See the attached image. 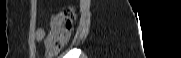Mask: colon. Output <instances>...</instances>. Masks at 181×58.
Segmentation results:
<instances>
[{
	"instance_id": "colon-1",
	"label": "colon",
	"mask_w": 181,
	"mask_h": 58,
	"mask_svg": "<svg viewBox=\"0 0 181 58\" xmlns=\"http://www.w3.org/2000/svg\"><path fill=\"white\" fill-rule=\"evenodd\" d=\"M75 19L73 7H66L53 16L47 46L51 50H60L68 41Z\"/></svg>"
}]
</instances>
